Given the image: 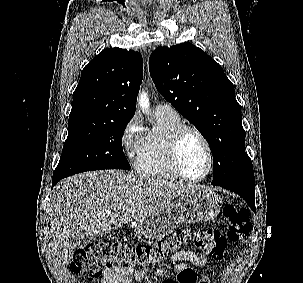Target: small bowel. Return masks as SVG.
<instances>
[{
	"label": "small bowel",
	"mask_w": 303,
	"mask_h": 283,
	"mask_svg": "<svg viewBox=\"0 0 303 283\" xmlns=\"http://www.w3.org/2000/svg\"><path fill=\"white\" fill-rule=\"evenodd\" d=\"M173 259L176 261H187L199 267L204 266L207 263L205 257L188 250L176 252L173 255ZM185 268L186 265L181 263L176 266V271H181ZM132 275H134L135 279L138 282L145 283L146 278L144 269L132 271L125 268H116L104 271L99 283H131ZM202 282L208 283V280L202 279Z\"/></svg>",
	"instance_id": "small-bowel-1"
}]
</instances>
